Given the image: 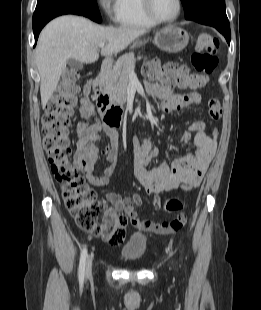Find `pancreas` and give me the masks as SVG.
I'll list each match as a JSON object with an SVG mask.
<instances>
[{
    "label": "pancreas",
    "mask_w": 261,
    "mask_h": 310,
    "mask_svg": "<svg viewBox=\"0 0 261 310\" xmlns=\"http://www.w3.org/2000/svg\"><path fill=\"white\" fill-rule=\"evenodd\" d=\"M134 53L120 57L113 69L105 76V91L111 100L117 104H124L127 99L126 91L129 82V71L135 67Z\"/></svg>",
    "instance_id": "cf45deb5"
}]
</instances>
